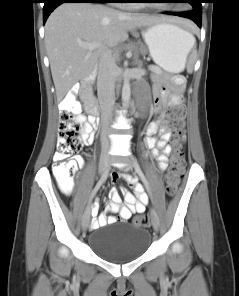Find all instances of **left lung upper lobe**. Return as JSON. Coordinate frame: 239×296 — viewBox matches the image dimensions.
Masks as SVG:
<instances>
[{
  "instance_id": "obj_1",
  "label": "left lung upper lobe",
  "mask_w": 239,
  "mask_h": 296,
  "mask_svg": "<svg viewBox=\"0 0 239 296\" xmlns=\"http://www.w3.org/2000/svg\"><path fill=\"white\" fill-rule=\"evenodd\" d=\"M180 2L189 3L192 8L196 9L197 11L202 12V5L201 0H180Z\"/></svg>"
}]
</instances>
